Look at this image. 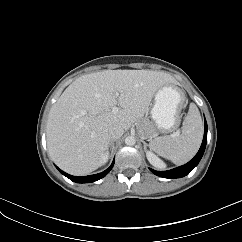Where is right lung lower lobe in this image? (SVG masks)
Here are the masks:
<instances>
[{
  "label": "right lung lower lobe",
  "mask_w": 242,
  "mask_h": 242,
  "mask_svg": "<svg viewBox=\"0 0 242 242\" xmlns=\"http://www.w3.org/2000/svg\"><path fill=\"white\" fill-rule=\"evenodd\" d=\"M113 165H114V161L111 164V166L108 169H106L105 171H103L101 173H98V174H95V175H89V176H83V177H81V176H72V175H69V174L63 172L58 167H57V169L64 176H66L67 178H69L70 180H72V181H74L76 183H91V182H95V181L103 178L105 175H107L110 172V170L112 169Z\"/></svg>",
  "instance_id": "obj_1"
}]
</instances>
